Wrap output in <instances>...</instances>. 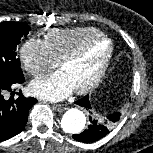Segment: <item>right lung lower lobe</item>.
Here are the masks:
<instances>
[{
  "label": "right lung lower lobe",
  "mask_w": 153,
  "mask_h": 153,
  "mask_svg": "<svg viewBox=\"0 0 153 153\" xmlns=\"http://www.w3.org/2000/svg\"><path fill=\"white\" fill-rule=\"evenodd\" d=\"M24 82V76L17 79L0 76V142L10 139L23 130L28 120L30 108L37 102L35 98H26L18 94V98L5 99L6 92Z\"/></svg>",
  "instance_id": "obj_1"
}]
</instances>
